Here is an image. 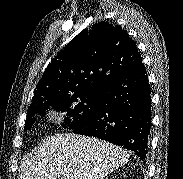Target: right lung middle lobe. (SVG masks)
I'll return each instance as SVG.
<instances>
[{"mask_svg": "<svg viewBox=\"0 0 183 179\" xmlns=\"http://www.w3.org/2000/svg\"><path fill=\"white\" fill-rule=\"evenodd\" d=\"M99 94H84L79 96H62L47 99L28 108L24 130L27 131L34 124L35 114H45L47 106L51 105L58 111L67 112L64 119V127L69 130L88 122L98 111Z\"/></svg>", "mask_w": 183, "mask_h": 179, "instance_id": "right-lung-middle-lobe-1", "label": "right lung middle lobe"}]
</instances>
